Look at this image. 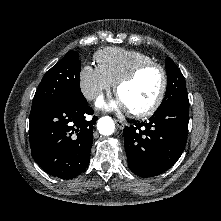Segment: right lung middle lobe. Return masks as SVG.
<instances>
[{"label": "right lung middle lobe", "mask_w": 221, "mask_h": 221, "mask_svg": "<svg viewBox=\"0 0 221 221\" xmlns=\"http://www.w3.org/2000/svg\"><path fill=\"white\" fill-rule=\"evenodd\" d=\"M80 70L79 55L75 51L66 53L45 73L34 95L30 117L56 101L84 100L80 89Z\"/></svg>", "instance_id": "right-lung-middle-lobe-1"}]
</instances>
